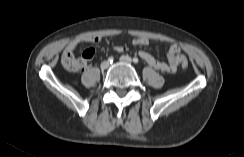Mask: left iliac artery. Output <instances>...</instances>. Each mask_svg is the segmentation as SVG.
<instances>
[{"instance_id": "obj_1", "label": "left iliac artery", "mask_w": 244, "mask_h": 157, "mask_svg": "<svg viewBox=\"0 0 244 157\" xmlns=\"http://www.w3.org/2000/svg\"><path fill=\"white\" fill-rule=\"evenodd\" d=\"M133 62L137 64L139 62L138 58L137 57H134L133 58Z\"/></svg>"}]
</instances>
